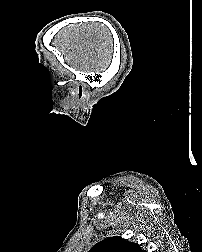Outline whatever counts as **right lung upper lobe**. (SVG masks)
I'll use <instances>...</instances> for the list:
<instances>
[{
	"instance_id": "obj_1",
	"label": "right lung upper lobe",
	"mask_w": 202,
	"mask_h": 252,
	"mask_svg": "<svg viewBox=\"0 0 202 252\" xmlns=\"http://www.w3.org/2000/svg\"><path fill=\"white\" fill-rule=\"evenodd\" d=\"M89 252H145L139 245L120 236L107 238L97 243Z\"/></svg>"
}]
</instances>
